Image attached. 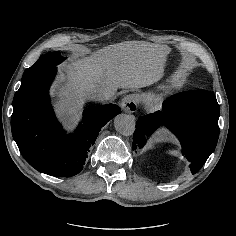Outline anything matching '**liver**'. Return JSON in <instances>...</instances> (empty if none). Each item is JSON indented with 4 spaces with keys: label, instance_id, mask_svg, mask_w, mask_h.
Returning a JSON list of instances; mask_svg holds the SVG:
<instances>
[{
    "label": "liver",
    "instance_id": "obj_1",
    "mask_svg": "<svg viewBox=\"0 0 236 236\" xmlns=\"http://www.w3.org/2000/svg\"><path fill=\"white\" fill-rule=\"evenodd\" d=\"M169 51L166 45L125 41L63 63L64 73L59 78L63 84L54 83L50 91L59 100L55 104L58 116L71 115L69 121H72L96 87L115 93L118 88H140L158 81L163 76V68L156 61Z\"/></svg>",
    "mask_w": 236,
    "mask_h": 236
}]
</instances>
